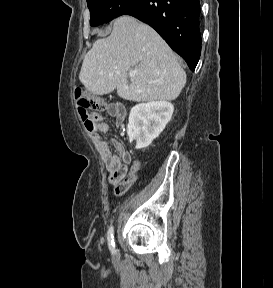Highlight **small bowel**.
Wrapping results in <instances>:
<instances>
[{
    "instance_id": "c3829d8e",
    "label": "small bowel",
    "mask_w": 273,
    "mask_h": 288,
    "mask_svg": "<svg viewBox=\"0 0 273 288\" xmlns=\"http://www.w3.org/2000/svg\"><path fill=\"white\" fill-rule=\"evenodd\" d=\"M106 112L115 118L117 125H122L126 118V109L121 104H109ZM109 126L102 116H96V127L90 132L92 140L99 151L104 165L109 173L108 181L114 186L117 196L126 193L136 182L140 170V161L134 160L130 152L117 139H112L111 143L115 149L112 152L109 145L101 137V133H106Z\"/></svg>"
}]
</instances>
